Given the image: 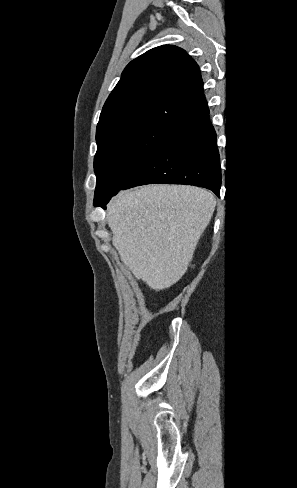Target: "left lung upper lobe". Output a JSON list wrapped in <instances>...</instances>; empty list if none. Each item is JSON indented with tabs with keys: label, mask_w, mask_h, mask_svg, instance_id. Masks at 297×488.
I'll list each match as a JSON object with an SVG mask.
<instances>
[{
	"label": "left lung upper lobe",
	"mask_w": 297,
	"mask_h": 488,
	"mask_svg": "<svg viewBox=\"0 0 297 488\" xmlns=\"http://www.w3.org/2000/svg\"><path fill=\"white\" fill-rule=\"evenodd\" d=\"M226 139H227V140H226V141H227L226 143H228V136H227V138H226ZM226 145H227V144H226ZM226 147H227V146H226Z\"/></svg>",
	"instance_id": "5c2ea615"
}]
</instances>
